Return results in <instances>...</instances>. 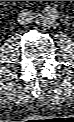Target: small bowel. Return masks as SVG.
Returning <instances> with one entry per match:
<instances>
[{
  "mask_svg": "<svg viewBox=\"0 0 74 122\" xmlns=\"http://www.w3.org/2000/svg\"><path fill=\"white\" fill-rule=\"evenodd\" d=\"M45 13L47 16H49V18L54 20L56 17L57 9L54 6H48L45 9Z\"/></svg>",
  "mask_w": 74,
  "mask_h": 122,
  "instance_id": "obj_1",
  "label": "small bowel"
}]
</instances>
